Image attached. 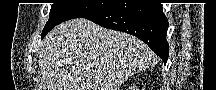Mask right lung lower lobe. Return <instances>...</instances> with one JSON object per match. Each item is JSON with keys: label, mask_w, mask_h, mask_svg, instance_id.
I'll use <instances>...</instances> for the list:
<instances>
[{"label": "right lung lower lobe", "mask_w": 216, "mask_h": 90, "mask_svg": "<svg viewBox=\"0 0 216 90\" xmlns=\"http://www.w3.org/2000/svg\"><path fill=\"white\" fill-rule=\"evenodd\" d=\"M105 28L123 31L145 42L166 64L169 45L166 40L168 20L161 4H113L84 17Z\"/></svg>", "instance_id": "1"}]
</instances>
